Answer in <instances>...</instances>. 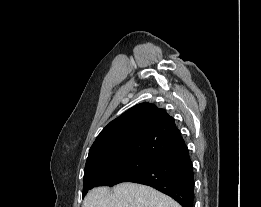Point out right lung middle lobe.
<instances>
[{"mask_svg": "<svg viewBox=\"0 0 261 207\" xmlns=\"http://www.w3.org/2000/svg\"><path fill=\"white\" fill-rule=\"evenodd\" d=\"M158 161L148 157L129 156L85 166L83 196L96 186H113L121 183L131 175L149 168Z\"/></svg>", "mask_w": 261, "mask_h": 207, "instance_id": "obj_1", "label": "right lung middle lobe"}]
</instances>
